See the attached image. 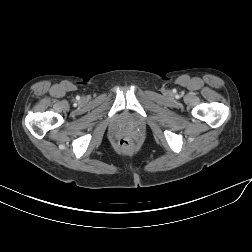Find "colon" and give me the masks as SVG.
I'll use <instances>...</instances> for the list:
<instances>
[{
	"instance_id": "5ec220e1",
	"label": "colon",
	"mask_w": 252,
	"mask_h": 252,
	"mask_svg": "<svg viewBox=\"0 0 252 252\" xmlns=\"http://www.w3.org/2000/svg\"><path fill=\"white\" fill-rule=\"evenodd\" d=\"M118 149L122 152H130L134 148L132 140L128 138H121L117 143Z\"/></svg>"
}]
</instances>
